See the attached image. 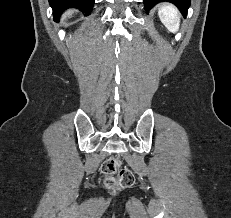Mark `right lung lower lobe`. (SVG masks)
<instances>
[{
	"mask_svg": "<svg viewBox=\"0 0 231 218\" xmlns=\"http://www.w3.org/2000/svg\"><path fill=\"white\" fill-rule=\"evenodd\" d=\"M94 2L95 0H49L55 20H58L62 12L70 7L78 8L86 15L90 14Z\"/></svg>",
	"mask_w": 231,
	"mask_h": 218,
	"instance_id": "1",
	"label": "right lung lower lobe"
}]
</instances>
